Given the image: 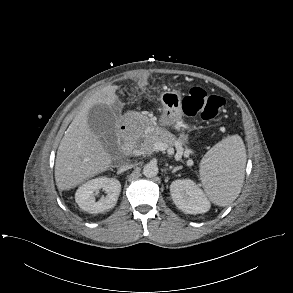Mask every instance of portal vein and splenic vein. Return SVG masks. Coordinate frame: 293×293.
Here are the masks:
<instances>
[{"label": "portal vein and splenic vein", "instance_id": "1", "mask_svg": "<svg viewBox=\"0 0 293 293\" xmlns=\"http://www.w3.org/2000/svg\"><path fill=\"white\" fill-rule=\"evenodd\" d=\"M154 148L156 150H158V151H164V150H166L168 148V145L166 143H163V142H157V143L154 144ZM178 154H179V157H180L182 152L179 151ZM189 154H190L189 151L184 153L185 156H189Z\"/></svg>", "mask_w": 293, "mask_h": 293}]
</instances>
